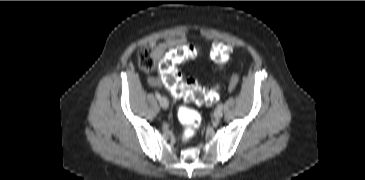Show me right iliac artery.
Wrapping results in <instances>:
<instances>
[{
  "label": "right iliac artery",
  "instance_id": "right-iliac-artery-1",
  "mask_svg": "<svg viewBox=\"0 0 365 180\" xmlns=\"http://www.w3.org/2000/svg\"><path fill=\"white\" fill-rule=\"evenodd\" d=\"M155 96H156L157 99H160L161 98V95H160V93L158 91H155Z\"/></svg>",
  "mask_w": 365,
  "mask_h": 180
}]
</instances>
